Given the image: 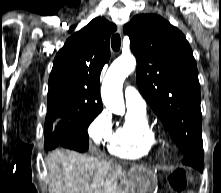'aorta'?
Listing matches in <instances>:
<instances>
[{
    "instance_id": "1",
    "label": "aorta",
    "mask_w": 221,
    "mask_h": 193,
    "mask_svg": "<svg viewBox=\"0 0 221 193\" xmlns=\"http://www.w3.org/2000/svg\"><path fill=\"white\" fill-rule=\"evenodd\" d=\"M135 67L136 60L132 55L120 56L111 64L103 80L101 88L103 103L116 115L125 114L122 87L124 80Z\"/></svg>"
}]
</instances>
